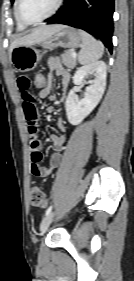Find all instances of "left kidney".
I'll list each match as a JSON object with an SVG mask.
<instances>
[{"instance_id":"obj_1","label":"left kidney","mask_w":134,"mask_h":281,"mask_svg":"<svg viewBox=\"0 0 134 281\" xmlns=\"http://www.w3.org/2000/svg\"><path fill=\"white\" fill-rule=\"evenodd\" d=\"M88 75H94V79L86 87L85 97L78 100L75 91L70 90L65 101L67 118L72 125L80 124L100 102L106 86V64L104 61H96L78 68L73 76V83L84 85Z\"/></svg>"}]
</instances>
